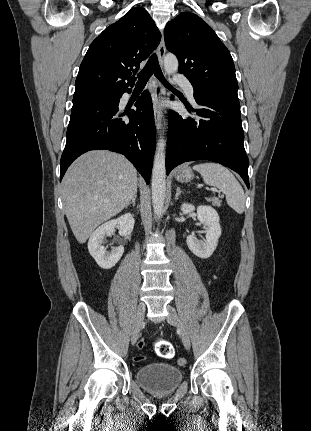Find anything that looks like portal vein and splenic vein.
Returning <instances> with one entry per match:
<instances>
[{"mask_svg":"<svg viewBox=\"0 0 311 431\" xmlns=\"http://www.w3.org/2000/svg\"><path fill=\"white\" fill-rule=\"evenodd\" d=\"M211 192H217L216 188H210Z\"/></svg>","mask_w":311,"mask_h":431,"instance_id":"18ae733b","label":"portal vein and splenic vein"}]
</instances>
